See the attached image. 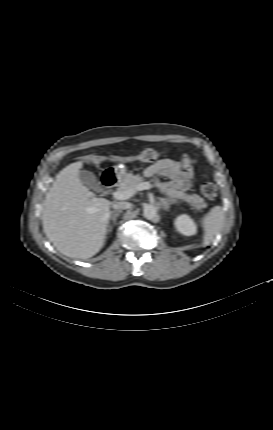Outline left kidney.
Here are the masks:
<instances>
[{"instance_id": "5707ae66", "label": "left kidney", "mask_w": 273, "mask_h": 430, "mask_svg": "<svg viewBox=\"0 0 273 430\" xmlns=\"http://www.w3.org/2000/svg\"><path fill=\"white\" fill-rule=\"evenodd\" d=\"M175 226L177 231L186 236L195 235L197 232L194 220L187 214L178 216L175 220Z\"/></svg>"}]
</instances>
